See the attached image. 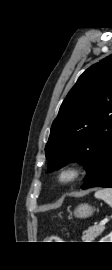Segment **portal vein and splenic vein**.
Here are the masks:
<instances>
[{"mask_svg":"<svg viewBox=\"0 0 112 270\" xmlns=\"http://www.w3.org/2000/svg\"><path fill=\"white\" fill-rule=\"evenodd\" d=\"M108 221H109V219L107 217H105L103 220L100 221L99 226H104Z\"/></svg>","mask_w":112,"mask_h":270,"instance_id":"18ae733b","label":"portal vein and splenic vein"}]
</instances>
